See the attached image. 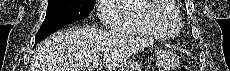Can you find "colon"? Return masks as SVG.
I'll use <instances>...</instances> for the list:
<instances>
[{"label":"colon","mask_w":230,"mask_h":71,"mask_svg":"<svg viewBox=\"0 0 230 71\" xmlns=\"http://www.w3.org/2000/svg\"><path fill=\"white\" fill-rule=\"evenodd\" d=\"M180 71H189V68L187 66L180 67Z\"/></svg>","instance_id":"colon-1"}]
</instances>
